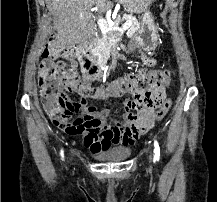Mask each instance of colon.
Returning a JSON list of instances; mask_svg holds the SVG:
<instances>
[{"mask_svg": "<svg viewBox=\"0 0 217 202\" xmlns=\"http://www.w3.org/2000/svg\"><path fill=\"white\" fill-rule=\"evenodd\" d=\"M46 41H53V36H46ZM70 55L69 47H51V49H41V59H37V64H42V68H38L39 82L38 91H45L42 102L46 103L45 111H53L48 114V119H54L56 128H60L64 132L72 135L81 134L87 130L98 131L102 129L103 122L93 117L86 107L79 103H74L67 99H61L62 96H68V86L63 82L65 74L73 72V69L67 68V63L72 60H64V63H56L53 55ZM73 67V64H69ZM174 72L172 70H159L154 72H138L129 76L128 82H147V87H139L134 89L133 98L134 106L138 111H147L153 109L164 99L166 87L172 82ZM67 81V78H64ZM127 88H131L128 87ZM90 93L86 92V96ZM161 109L157 110L156 122L161 120L170 107L171 100ZM76 112V118L72 119V114ZM145 119L141 116L134 119L131 123H118L113 131H135V126H142ZM147 124V123H146ZM143 127V126H142ZM139 131V130H138ZM141 131V130H140ZM144 131V130H142ZM146 132V131H144ZM139 137V136H138Z\"/></svg>", "mask_w": 217, "mask_h": 202, "instance_id": "1", "label": "colon"}]
</instances>
